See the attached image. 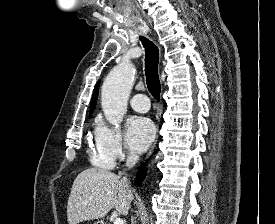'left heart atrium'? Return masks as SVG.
<instances>
[{
	"mask_svg": "<svg viewBox=\"0 0 275 224\" xmlns=\"http://www.w3.org/2000/svg\"><path fill=\"white\" fill-rule=\"evenodd\" d=\"M126 137L127 143L133 151L143 152L154 140V124L146 117H134L129 122Z\"/></svg>",
	"mask_w": 275,
	"mask_h": 224,
	"instance_id": "39dd6f15",
	"label": "left heart atrium"
}]
</instances>
